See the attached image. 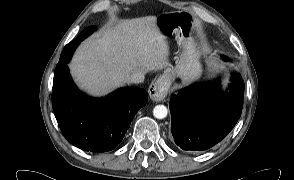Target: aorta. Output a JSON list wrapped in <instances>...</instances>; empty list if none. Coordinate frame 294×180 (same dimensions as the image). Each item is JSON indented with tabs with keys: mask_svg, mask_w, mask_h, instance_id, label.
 I'll return each instance as SVG.
<instances>
[{
	"mask_svg": "<svg viewBox=\"0 0 294 180\" xmlns=\"http://www.w3.org/2000/svg\"><path fill=\"white\" fill-rule=\"evenodd\" d=\"M168 114V110L164 105H157L153 109V115L157 119H164Z\"/></svg>",
	"mask_w": 294,
	"mask_h": 180,
	"instance_id": "1",
	"label": "aorta"
}]
</instances>
